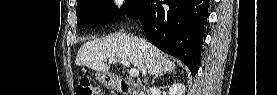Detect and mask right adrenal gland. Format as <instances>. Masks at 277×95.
<instances>
[{"instance_id": "obj_1", "label": "right adrenal gland", "mask_w": 277, "mask_h": 95, "mask_svg": "<svg viewBox=\"0 0 277 95\" xmlns=\"http://www.w3.org/2000/svg\"><path fill=\"white\" fill-rule=\"evenodd\" d=\"M165 73H166V72H160V73H158V74H155V76H154L153 79H152V84L155 83V80H156L157 78L161 77V76L164 75Z\"/></svg>"}]
</instances>
